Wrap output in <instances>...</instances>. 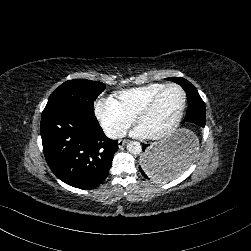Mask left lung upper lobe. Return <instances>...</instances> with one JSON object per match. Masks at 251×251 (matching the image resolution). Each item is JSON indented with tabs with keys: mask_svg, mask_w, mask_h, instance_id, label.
<instances>
[{
	"mask_svg": "<svg viewBox=\"0 0 251 251\" xmlns=\"http://www.w3.org/2000/svg\"><path fill=\"white\" fill-rule=\"evenodd\" d=\"M167 80L174 81L182 86V88L185 90L187 93V97H194L197 100L203 101L200 97V95L197 92V89L186 79L181 78V77H171L167 78Z\"/></svg>",
	"mask_w": 251,
	"mask_h": 251,
	"instance_id": "left-lung-upper-lobe-1",
	"label": "left lung upper lobe"
}]
</instances>
